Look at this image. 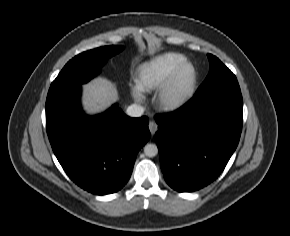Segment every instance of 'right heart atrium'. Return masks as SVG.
I'll list each match as a JSON object with an SVG mask.
<instances>
[{
    "label": "right heart atrium",
    "mask_w": 290,
    "mask_h": 236,
    "mask_svg": "<svg viewBox=\"0 0 290 236\" xmlns=\"http://www.w3.org/2000/svg\"><path fill=\"white\" fill-rule=\"evenodd\" d=\"M133 96L136 100H141L142 99V94L138 90H133Z\"/></svg>",
    "instance_id": "d8ad5b80"
}]
</instances>
